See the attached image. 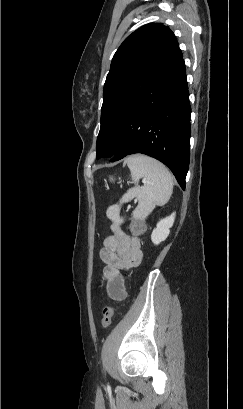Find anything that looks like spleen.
Wrapping results in <instances>:
<instances>
[{
  "instance_id": "obj_1",
  "label": "spleen",
  "mask_w": 243,
  "mask_h": 409,
  "mask_svg": "<svg viewBox=\"0 0 243 409\" xmlns=\"http://www.w3.org/2000/svg\"><path fill=\"white\" fill-rule=\"evenodd\" d=\"M127 165L135 186L122 196L119 204L108 207L106 211L107 217L116 224L123 222L119 216L123 203L137 198L138 206L132 216L145 220L157 205H164L169 201L173 191V177L159 161L145 155H133L127 159ZM140 178L145 180L142 187L137 184Z\"/></svg>"
}]
</instances>
